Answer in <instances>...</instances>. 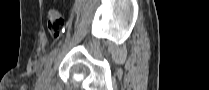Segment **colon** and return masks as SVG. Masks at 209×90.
Returning <instances> with one entry per match:
<instances>
[{
    "mask_svg": "<svg viewBox=\"0 0 209 90\" xmlns=\"http://www.w3.org/2000/svg\"><path fill=\"white\" fill-rule=\"evenodd\" d=\"M47 24L48 30L53 37H61L65 28V19L61 12L50 10L48 12Z\"/></svg>",
    "mask_w": 209,
    "mask_h": 90,
    "instance_id": "colon-1",
    "label": "colon"
}]
</instances>
